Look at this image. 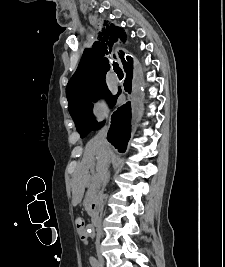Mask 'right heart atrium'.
Instances as JSON below:
<instances>
[{"instance_id": "d8ad5b80", "label": "right heart atrium", "mask_w": 225, "mask_h": 267, "mask_svg": "<svg viewBox=\"0 0 225 267\" xmlns=\"http://www.w3.org/2000/svg\"><path fill=\"white\" fill-rule=\"evenodd\" d=\"M108 111V104L106 100L100 99L93 106V116L97 121H102L105 119Z\"/></svg>"}]
</instances>
